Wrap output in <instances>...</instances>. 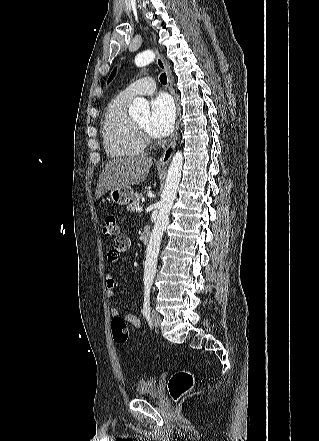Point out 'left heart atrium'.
<instances>
[{
    "instance_id": "1",
    "label": "left heart atrium",
    "mask_w": 319,
    "mask_h": 441,
    "mask_svg": "<svg viewBox=\"0 0 319 441\" xmlns=\"http://www.w3.org/2000/svg\"><path fill=\"white\" fill-rule=\"evenodd\" d=\"M151 119L148 130L151 135L162 138L169 135L175 120V108L170 97L157 95L151 100Z\"/></svg>"
}]
</instances>
